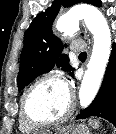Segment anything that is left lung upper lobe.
Wrapping results in <instances>:
<instances>
[{"mask_svg":"<svg viewBox=\"0 0 116 134\" xmlns=\"http://www.w3.org/2000/svg\"><path fill=\"white\" fill-rule=\"evenodd\" d=\"M79 2L101 6L100 0H55L45 12H41L33 19L25 33L24 48L20 56L17 76L19 90L39 75L52 70L54 66L61 67L74 76L73 68L69 65V57L62 54L64 46L52 32V24L61 5L68 7Z\"/></svg>","mask_w":116,"mask_h":134,"instance_id":"obj_1","label":"left lung upper lobe"}]
</instances>
